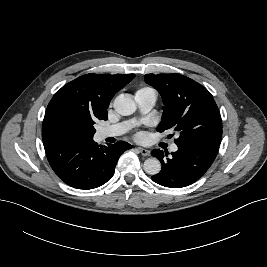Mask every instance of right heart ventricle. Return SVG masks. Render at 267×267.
Segmentation results:
<instances>
[{
	"label": "right heart ventricle",
	"mask_w": 267,
	"mask_h": 267,
	"mask_svg": "<svg viewBox=\"0 0 267 267\" xmlns=\"http://www.w3.org/2000/svg\"><path fill=\"white\" fill-rule=\"evenodd\" d=\"M143 92H154L153 89L149 88V87H143V88H140L139 90H137L136 94L137 93H143Z\"/></svg>",
	"instance_id": "1"
}]
</instances>
